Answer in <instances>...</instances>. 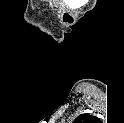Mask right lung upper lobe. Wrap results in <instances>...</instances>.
Returning <instances> with one entry per match:
<instances>
[{
  "instance_id": "cb5924a9",
  "label": "right lung upper lobe",
  "mask_w": 124,
  "mask_h": 123,
  "mask_svg": "<svg viewBox=\"0 0 124 123\" xmlns=\"http://www.w3.org/2000/svg\"><path fill=\"white\" fill-rule=\"evenodd\" d=\"M93 119H95L94 116H91L89 114H81L74 120V122L75 123L89 122Z\"/></svg>"
}]
</instances>
